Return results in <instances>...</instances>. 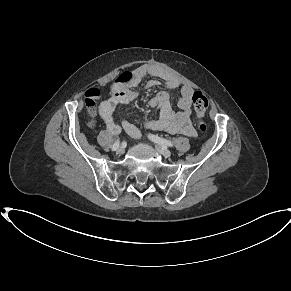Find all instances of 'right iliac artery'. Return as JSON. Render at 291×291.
I'll list each match as a JSON object with an SVG mask.
<instances>
[{"label": "right iliac artery", "mask_w": 291, "mask_h": 291, "mask_svg": "<svg viewBox=\"0 0 291 291\" xmlns=\"http://www.w3.org/2000/svg\"><path fill=\"white\" fill-rule=\"evenodd\" d=\"M119 144H120V141L117 140L112 146V151H117L119 148Z\"/></svg>", "instance_id": "1"}]
</instances>
